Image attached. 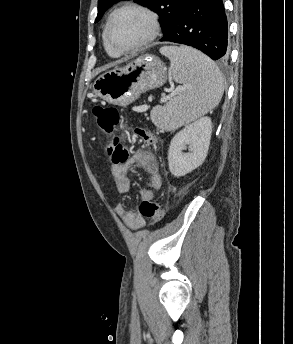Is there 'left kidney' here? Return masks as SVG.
Here are the masks:
<instances>
[{"instance_id": "5707ae66", "label": "left kidney", "mask_w": 293, "mask_h": 344, "mask_svg": "<svg viewBox=\"0 0 293 344\" xmlns=\"http://www.w3.org/2000/svg\"><path fill=\"white\" fill-rule=\"evenodd\" d=\"M211 133V119L205 116L189 124L173 137L168 151V165L172 175L185 176L204 162ZM186 146L190 152L182 153Z\"/></svg>"}]
</instances>
